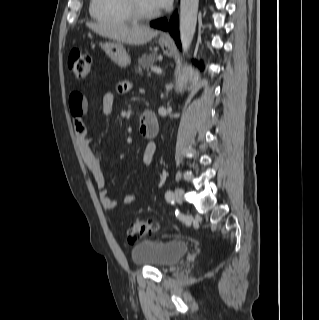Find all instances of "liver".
<instances>
[{"mask_svg":"<svg viewBox=\"0 0 319 320\" xmlns=\"http://www.w3.org/2000/svg\"><path fill=\"white\" fill-rule=\"evenodd\" d=\"M86 26L101 36L129 45H143L158 34L143 25L86 23Z\"/></svg>","mask_w":319,"mask_h":320,"instance_id":"obj_1","label":"liver"}]
</instances>
